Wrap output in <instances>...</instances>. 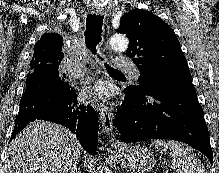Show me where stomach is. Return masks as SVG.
Returning <instances> with one entry per match:
<instances>
[{
    "label": "stomach",
    "instance_id": "stomach-1",
    "mask_svg": "<svg viewBox=\"0 0 219 173\" xmlns=\"http://www.w3.org/2000/svg\"><path fill=\"white\" fill-rule=\"evenodd\" d=\"M115 155L121 167L129 173H150L155 165L153 152L143 144L122 145Z\"/></svg>",
    "mask_w": 219,
    "mask_h": 173
}]
</instances>
